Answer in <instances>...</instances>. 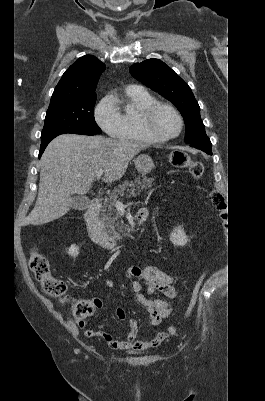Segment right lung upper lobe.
<instances>
[{"label":"right lung upper lobe","mask_w":265,"mask_h":401,"mask_svg":"<svg viewBox=\"0 0 265 401\" xmlns=\"http://www.w3.org/2000/svg\"><path fill=\"white\" fill-rule=\"evenodd\" d=\"M105 65L93 55L79 58L63 74L50 101V106L67 100L96 95V85Z\"/></svg>","instance_id":"obj_1"}]
</instances>
